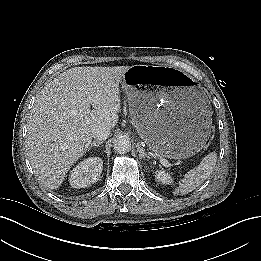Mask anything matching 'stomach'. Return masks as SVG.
Wrapping results in <instances>:
<instances>
[{
  "mask_svg": "<svg viewBox=\"0 0 261 261\" xmlns=\"http://www.w3.org/2000/svg\"><path fill=\"white\" fill-rule=\"evenodd\" d=\"M148 74L169 76L154 90H141ZM123 87L141 138L158 155L193 156L211 132V111L204 93L182 73L166 67L135 65L124 74Z\"/></svg>",
  "mask_w": 261,
  "mask_h": 261,
  "instance_id": "1",
  "label": "stomach"
}]
</instances>
